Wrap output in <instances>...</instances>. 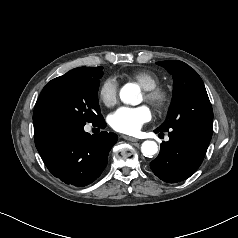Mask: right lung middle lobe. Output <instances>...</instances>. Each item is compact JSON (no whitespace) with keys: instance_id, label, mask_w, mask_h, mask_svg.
Here are the masks:
<instances>
[{"instance_id":"1","label":"right lung middle lobe","mask_w":238,"mask_h":238,"mask_svg":"<svg viewBox=\"0 0 238 238\" xmlns=\"http://www.w3.org/2000/svg\"><path fill=\"white\" fill-rule=\"evenodd\" d=\"M102 75V67H79L51 80L41 92L50 122L102 120L97 95Z\"/></svg>"}]
</instances>
